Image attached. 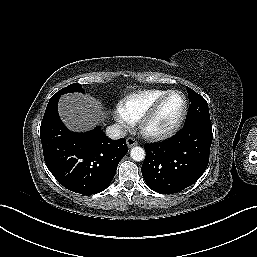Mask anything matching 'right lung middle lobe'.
I'll return each instance as SVG.
<instances>
[{
  "mask_svg": "<svg viewBox=\"0 0 257 257\" xmlns=\"http://www.w3.org/2000/svg\"><path fill=\"white\" fill-rule=\"evenodd\" d=\"M70 92H82L84 93V89H82V85L78 84V83H74L71 84L63 89H61L60 91H58L55 95H63L65 93H70Z\"/></svg>",
  "mask_w": 257,
  "mask_h": 257,
  "instance_id": "obj_1",
  "label": "right lung middle lobe"
}]
</instances>
